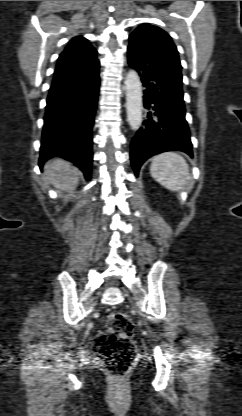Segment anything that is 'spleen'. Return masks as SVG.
Instances as JSON below:
<instances>
[{"instance_id":"obj_1","label":"spleen","mask_w":242,"mask_h":416,"mask_svg":"<svg viewBox=\"0 0 242 416\" xmlns=\"http://www.w3.org/2000/svg\"><path fill=\"white\" fill-rule=\"evenodd\" d=\"M151 176L171 191L182 190L190 179L186 160L176 152L156 155L150 165Z\"/></svg>"}]
</instances>
